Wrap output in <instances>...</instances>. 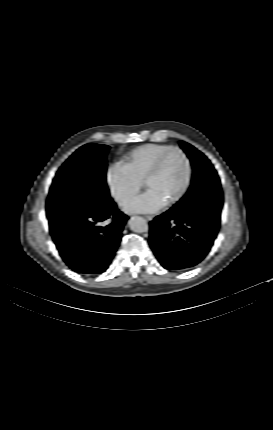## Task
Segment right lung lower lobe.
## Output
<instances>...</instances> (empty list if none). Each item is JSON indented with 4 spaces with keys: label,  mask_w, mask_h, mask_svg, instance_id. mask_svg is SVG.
I'll use <instances>...</instances> for the list:
<instances>
[{
    "label": "right lung lower lobe",
    "mask_w": 273,
    "mask_h": 430,
    "mask_svg": "<svg viewBox=\"0 0 273 430\" xmlns=\"http://www.w3.org/2000/svg\"><path fill=\"white\" fill-rule=\"evenodd\" d=\"M111 219L107 226L99 223ZM128 217L114 202L92 205L49 220L52 239L73 271L83 275L101 274L109 267L121 241Z\"/></svg>",
    "instance_id": "98d812e1"
}]
</instances>
